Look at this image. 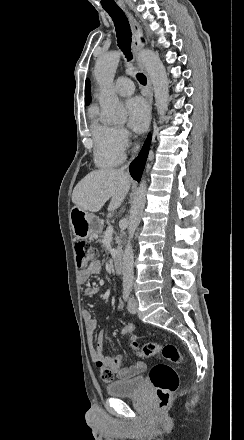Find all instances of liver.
Wrapping results in <instances>:
<instances>
[{
  "instance_id": "6515ba94",
  "label": "liver",
  "mask_w": 244,
  "mask_h": 440,
  "mask_svg": "<svg viewBox=\"0 0 244 440\" xmlns=\"http://www.w3.org/2000/svg\"><path fill=\"white\" fill-rule=\"evenodd\" d=\"M130 186L129 176L124 170H112V168L94 170L75 186L72 202L82 210L99 212L107 200L112 198L108 212H115L125 200Z\"/></svg>"
}]
</instances>
